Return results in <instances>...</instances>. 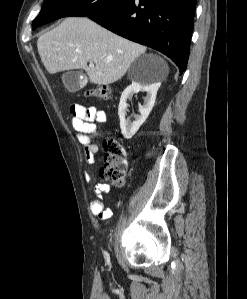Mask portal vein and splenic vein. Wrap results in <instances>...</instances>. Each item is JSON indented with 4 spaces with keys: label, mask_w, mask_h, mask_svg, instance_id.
Segmentation results:
<instances>
[{
    "label": "portal vein and splenic vein",
    "mask_w": 247,
    "mask_h": 299,
    "mask_svg": "<svg viewBox=\"0 0 247 299\" xmlns=\"http://www.w3.org/2000/svg\"><path fill=\"white\" fill-rule=\"evenodd\" d=\"M89 66H90V67H94V63H93V62H90V63H89Z\"/></svg>",
    "instance_id": "portal-vein-and-splenic-vein-1"
}]
</instances>
